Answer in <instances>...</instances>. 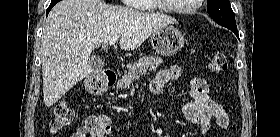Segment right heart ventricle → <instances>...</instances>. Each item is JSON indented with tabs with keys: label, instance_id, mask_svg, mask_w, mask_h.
Instances as JSON below:
<instances>
[{
	"label": "right heart ventricle",
	"instance_id": "obj_1",
	"mask_svg": "<svg viewBox=\"0 0 280 137\" xmlns=\"http://www.w3.org/2000/svg\"><path fill=\"white\" fill-rule=\"evenodd\" d=\"M145 2H152L153 0H144ZM159 8H152V9H149V11H158Z\"/></svg>",
	"mask_w": 280,
	"mask_h": 137
}]
</instances>
